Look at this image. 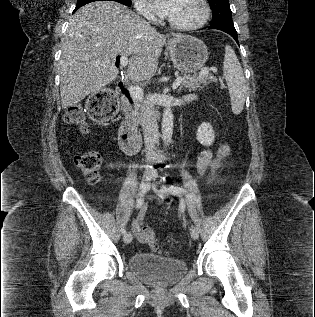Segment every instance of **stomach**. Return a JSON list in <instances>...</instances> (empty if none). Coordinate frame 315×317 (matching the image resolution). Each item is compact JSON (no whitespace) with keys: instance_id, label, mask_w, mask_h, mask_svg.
Listing matches in <instances>:
<instances>
[{"instance_id":"1","label":"stomach","mask_w":315,"mask_h":317,"mask_svg":"<svg viewBox=\"0 0 315 317\" xmlns=\"http://www.w3.org/2000/svg\"><path fill=\"white\" fill-rule=\"evenodd\" d=\"M167 49L174 67L184 74L195 73L201 69L209 56L203 41L189 35L172 38L168 42Z\"/></svg>"}]
</instances>
